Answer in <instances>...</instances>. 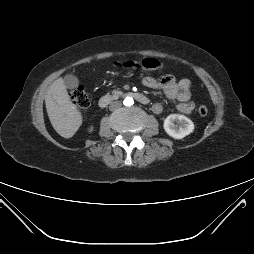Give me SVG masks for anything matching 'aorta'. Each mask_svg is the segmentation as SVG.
Returning <instances> with one entry per match:
<instances>
[{
  "label": "aorta",
  "instance_id": "762f6f07",
  "mask_svg": "<svg viewBox=\"0 0 254 254\" xmlns=\"http://www.w3.org/2000/svg\"><path fill=\"white\" fill-rule=\"evenodd\" d=\"M123 104H124L125 106L130 107V106H132V105L134 104V100H133L132 97H126V98L123 100Z\"/></svg>",
  "mask_w": 254,
  "mask_h": 254
}]
</instances>
